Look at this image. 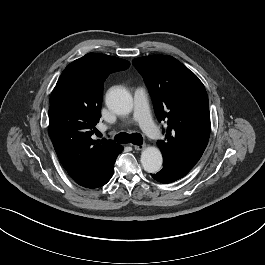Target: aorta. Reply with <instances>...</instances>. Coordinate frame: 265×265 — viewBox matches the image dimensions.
<instances>
[{
    "mask_svg": "<svg viewBox=\"0 0 265 265\" xmlns=\"http://www.w3.org/2000/svg\"><path fill=\"white\" fill-rule=\"evenodd\" d=\"M107 107L117 115H127L133 109V99L127 89L115 86L106 94ZM162 154L156 147H147L141 154V164L148 173H157L162 168Z\"/></svg>",
    "mask_w": 265,
    "mask_h": 265,
    "instance_id": "obj_1",
    "label": "aorta"
}]
</instances>
